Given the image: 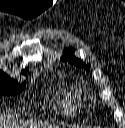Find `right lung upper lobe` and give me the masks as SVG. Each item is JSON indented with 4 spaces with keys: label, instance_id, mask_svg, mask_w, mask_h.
Segmentation results:
<instances>
[{
    "label": "right lung upper lobe",
    "instance_id": "cb5924a9",
    "mask_svg": "<svg viewBox=\"0 0 125 128\" xmlns=\"http://www.w3.org/2000/svg\"><path fill=\"white\" fill-rule=\"evenodd\" d=\"M3 72V71H2ZM26 73V70H23V74H25Z\"/></svg>",
    "mask_w": 125,
    "mask_h": 128
}]
</instances>
